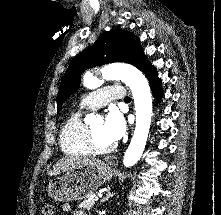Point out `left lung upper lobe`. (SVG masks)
<instances>
[{
    "instance_id": "left-lung-upper-lobe-1",
    "label": "left lung upper lobe",
    "mask_w": 221,
    "mask_h": 215,
    "mask_svg": "<svg viewBox=\"0 0 221 215\" xmlns=\"http://www.w3.org/2000/svg\"><path fill=\"white\" fill-rule=\"evenodd\" d=\"M112 62L130 63L142 72L151 65L143 55L140 41L134 34L122 30L105 32L91 47L71 61L61 80L57 110L76 91L84 70Z\"/></svg>"
}]
</instances>
